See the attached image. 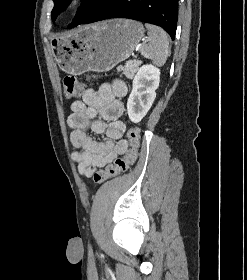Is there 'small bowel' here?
I'll use <instances>...</instances> for the list:
<instances>
[{
  "mask_svg": "<svg viewBox=\"0 0 247 280\" xmlns=\"http://www.w3.org/2000/svg\"><path fill=\"white\" fill-rule=\"evenodd\" d=\"M126 94V84L114 80L87 90L81 100L72 102L68 125L72 129L71 144L78 149L72 158L77 162L80 174L92 177L98 169L125 153L127 142L123 135L126 127L120 118L124 112L121 99ZM88 130L105 134L106 140H94L87 134Z\"/></svg>",
  "mask_w": 247,
  "mask_h": 280,
  "instance_id": "small-bowel-1",
  "label": "small bowel"
}]
</instances>
